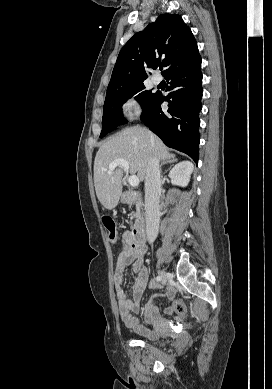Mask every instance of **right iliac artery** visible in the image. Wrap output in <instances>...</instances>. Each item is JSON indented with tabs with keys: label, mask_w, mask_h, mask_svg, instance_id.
Segmentation results:
<instances>
[{
	"label": "right iliac artery",
	"mask_w": 272,
	"mask_h": 389,
	"mask_svg": "<svg viewBox=\"0 0 272 389\" xmlns=\"http://www.w3.org/2000/svg\"><path fill=\"white\" fill-rule=\"evenodd\" d=\"M155 280H156V281H161V277H160V276H157V277L155 278Z\"/></svg>",
	"instance_id": "82829eb1"
}]
</instances>
